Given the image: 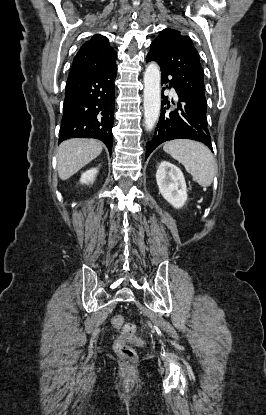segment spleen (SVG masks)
<instances>
[{
    "label": "spleen",
    "instance_id": "spleen-1",
    "mask_svg": "<svg viewBox=\"0 0 266 415\" xmlns=\"http://www.w3.org/2000/svg\"><path fill=\"white\" fill-rule=\"evenodd\" d=\"M163 150L183 164L194 181L202 187L212 184L216 172V162L211 151L202 143L192 140L167 142Z\"/></svg>",
    "mask_w": 266,
    "mask_h": 415
}]
</instances>
